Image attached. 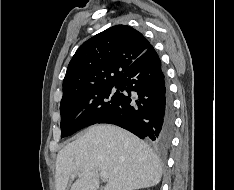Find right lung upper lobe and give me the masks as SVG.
Instances as JSON below:
<instances>
[{
  "label": "right lung upper lobe",
  "instance_id": "cb5924a9",
  "mask_svg": "<svg viewBox=\"0 0 234 190\" xmlns=\"http://www.w3.org/2000/svg\"><path fill=\"white\" fill-rule=\"evenodd\" d=\"M150 46L137 30L116 25L83 43L70 61L61 102L117 84L124 71Z\"/></svg>",
  "mask_w": 234,
  "mask_h": 190
}]
</instances>
